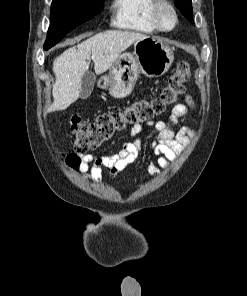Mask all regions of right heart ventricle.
Wrapping results in <instances>:
<instances>
[{"label":"right heart ventricle","mask_w":247,"mask_h":296,"mask_svg":"<svg viewBox=\"0 0 247 296\" xmlns=\"http://www.w3.org/2000/svg\"><path fill=\"white\" fill-rule=\"evenodd\" d=\"M155 2L156 0H113V25L144 34L158 32L152 15Z\"/></svg>","instance_id":"e07e8e85"}]
</instances>
